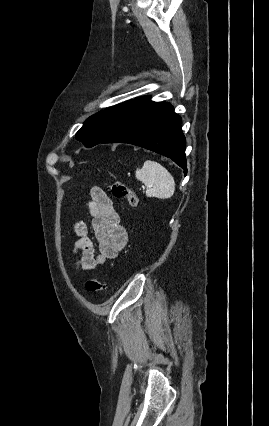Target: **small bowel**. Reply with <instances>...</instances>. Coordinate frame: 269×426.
I'll return each mask as SVG.
<instances>
[{"label": "small bowel", "mask_w": 269, "mask_h": 426, "mask_svg": "<svg viewBox=\"0 0 269 426\" xmlns=\"http://www.w3.org/2000/svg\"><path fill=\"white\" fill-rule=\"evenodd\" d=\"M90 196L88 208L99 250L98 253L95 252L86 224L83 221H76L73 224V232L77 238L73 254L78 275L92 271L106 264L107 261L115 259L128 241L122 218L107 193L99 187H93L90 190Z\"/></svg>", "instance_id": "small-bowel-1"}]
</instances>
